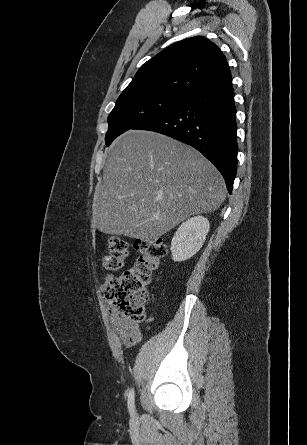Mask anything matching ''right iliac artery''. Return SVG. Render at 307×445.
Wrapping results in <instances>:
<instances>
[{"instance_id": "right-iliac-artery-1", "label": "right iliac artery", "mask_w": 307, "mask_h": 445, "mask_svg": "<svg viewBox=\"0 0 307 445\" xmlns=\"http://www.w3.org/2000/svg\"><path fill=\"white\" fill-rule=\"evenodd\" d=\"M128 408L131 415H134V389H131L128 395Z\"/></svg>"}]
</instances>
